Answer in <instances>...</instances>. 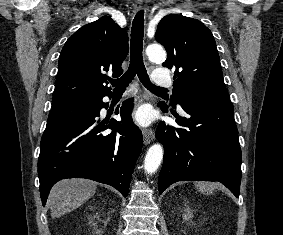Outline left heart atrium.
<instances>
[{
	"instance_id": "left-heart-atrium-1",
	"label": "left heart atrium",
	"mask_w": 283,
	"mask_h": 235,
	"mask_svg": "<svg viewBox=\"0 0 283 235\" xmlns=\"http://www.w3.org/2000/svg\"><path fill=\"white\" fill-rule=\"evenodd\" d=\"M134 118L136 120L137 123H139L140 125H148L151 122V112L150 109L148 107H141L139 108L135 114H134Z\"/></svg>"
}]
</instances>
